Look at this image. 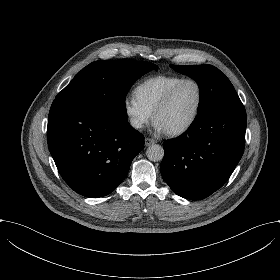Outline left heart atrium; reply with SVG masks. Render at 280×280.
Wrapping results in <instances>:
<instances>
[{
    "label": "left heart atrium",
    "mask_w": 280,
    "mask_h": 280,
    "mask_svg": "<svg viewBox=\"0 0 280 280\" xmlns=\"http://www.w3.org/2000/svg\"><path fill=\"white\" fill-rule=\"evenodd\" d=\"M153 129L158 134H164L168 132L167 127L158 119H156L153 123Z\"/></svg>",
    "instance_id": "1"
}]
</instances>
